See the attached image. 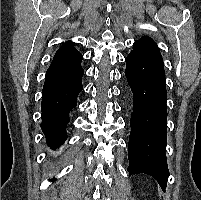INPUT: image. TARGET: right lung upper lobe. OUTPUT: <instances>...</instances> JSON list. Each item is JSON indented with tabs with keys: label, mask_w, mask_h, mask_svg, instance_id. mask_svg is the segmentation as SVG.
<instances>
[{
	"label": "right lung upper lobe",
	"mask_w": 201,
	"mask_h": 200,
	"mask_svg": "<svg viewBox=\"0 0 201 200\" xmlns=\"http://www.w3.org/2000/svg\"><path fill=\"white\" fill-rule=\"evenodd\" d=\"M81 60L82 54L72 46V42H66L54 55L52 63L46 72V79L75 70L81 65Z\"/></svg>",
	"instance_id": "obj_1"
}]
</instances>
